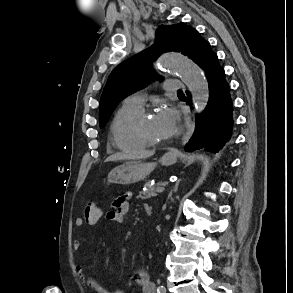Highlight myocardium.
Instances as JSON below:
<instances>
[{
	"label": "myocardium",
	"mask_w": 293,
	"mask_h": 293,
	"mask_svg": "<svg viewBox=\"0 0 293 293\" xmlns=\"http://www.w3.org/2000/svg\"><path fill=\"white\" fill-rule=\"evenodd\" d=\"M153 114H154V112L151 110H143L136 119L135 130H136V133L139 136V138L145 144H147V146L159 147V146H163L166 143V141L165 140H163V141L153 140V139L149 138L143 130V121L148 116L153 115Z\"/></svg>",
	"instance_id": "myocardium-1"
}]
</instances>
